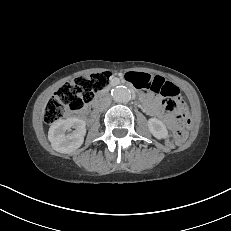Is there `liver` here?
I'll return each mask as SVG.
<instances>
[{
	"mask_svg": "<svg viewBox=\"0 0 231 231\" xmlns=\"http://www.w3.org/2000/svg\"><path fill=\"white\" fill-rule=\"evenodd\" d=\"M46 104H47V101L45 102L44 108H45ZM44 108H43V113H44Z\"/></svg>",
	"mask_w": 231,
	"mask_h": 231,
	"instance_id": "1",
	"label": "liver"
}]
</instances>
